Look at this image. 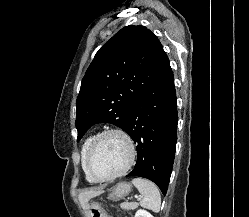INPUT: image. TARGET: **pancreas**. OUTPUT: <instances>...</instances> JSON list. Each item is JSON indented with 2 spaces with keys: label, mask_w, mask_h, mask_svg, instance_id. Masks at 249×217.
I'll use <instances>...</instances> for the list:
<instances>
[{
  "label": "pancreas",
  "mask_w": 249,
  "mask_h": 217,
  "mask_svg": "<svg viewBox=\"0 0 249 217\" xmlns=\"http://www.w3.org/2000/svg\"><path fill=\"white\" fill-rule=\"evenodd\" d=\"M138 207V203L137 202H123L121 204V208L125 209V210H134Z\"/></svg>",
  "instance_id": "1"
}]
</instances>
